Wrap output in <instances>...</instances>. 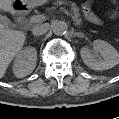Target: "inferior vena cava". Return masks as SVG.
Masks as SVG:
<instances>
[{"instance_id":"602c4592","label":"inferior vena cava","mask_w":119,"mask_h":119,"mask_svg":"<svg viewBox=\"0 0 119 119\" xmlns=\"http://www.w3.org/2000/svg\"><path fill=\"white\" fill-rule=\"evenodd\" d=\"M49 27H50V25L48 23H43V24L36 25L32 29V33L35 36L43 35L49 30Z\"/></svg>"}]
</instances>
